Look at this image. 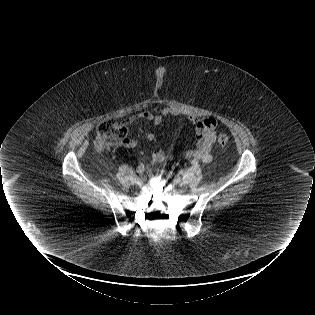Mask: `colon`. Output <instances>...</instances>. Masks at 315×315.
Returning a JSON list of instances; mask_svg holds the SVG:
<instances>
[{"label": "colon", "mask_w": 315, "mask_h": 315, "mask_svg": "<svg viewBox=\"0 0 315 315\" xmlns=\"http://www.w3.org/2000/svg\"><path fill=\"white\" fill-rule=\"evenodd\" d=\"M128 131L126 127L120 123L105 121L97 127V143L99 147H118L123 145L127 140ZM230 139L225 133H221L217 137V142L221 146L228 145Z\"/></svg>", "instance_id": "colon-1"}]
</instances>
